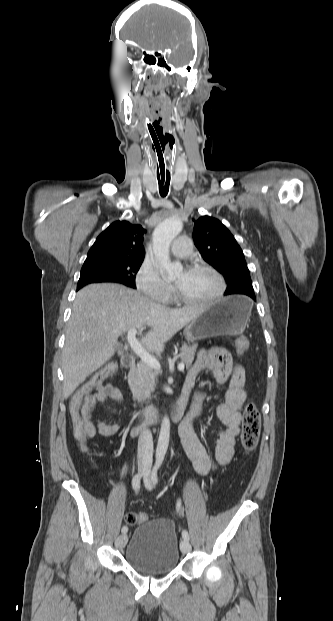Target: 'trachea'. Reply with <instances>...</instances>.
<instances>
[{"label": "trachea", "mask_w": 333, "mask_h": 621, "mask_svg": "<svg viewBox=\"0 0 333 621\" xmlns=\"http://www.w3.org/2000/svg\"><path fill=\"white\" fill-rule=\"evenodd\" d=\"M159 183V192L162 197H166L170 187V173L159 175L157 174Z\"/></svg>", "instance_id": "1"}]
</instances>
